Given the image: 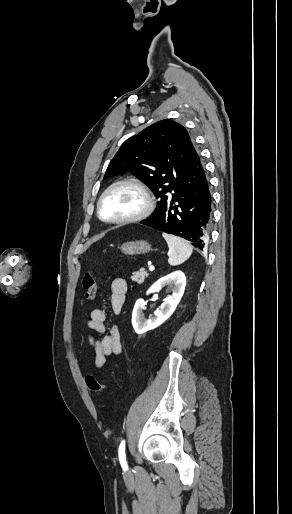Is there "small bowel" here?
Returning a JSON list of instances; mask_svg holds the SVG:
<instances>
[{
  "instance_id": "small-bowel-1",
  "label": "small bowel",
  "mask_w": 292,
  "mask_h": 514,
  "mask_svg": "<svg viewBox=\"0 0 292 514\" xmlns=\"http://www.w3.org/2000/svg\"><path fill=\"white\" fill-rule=\"evenodd\" d=\"M127 290V282L123 278H116L111 282L110 308L112 312L116 314L121 312ZM106 318L107 309L96 308L91 311L86 322L87 326L99 335L97 338L91 334L85 336L94 358V364L99 369L105 365L109 356L119 355L123 350L119 326L114 323L106 325Z\"/></svg>"
}]
</instances>
